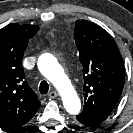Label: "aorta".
<instances>
[{"instance_id":"aorta-1","label":"aorta","mask_w":133,"mask_h":133,"mask_svg":"<svg viewBox=\"0 0 133 133\" xmlns=\"http://www.w3.org/2000/svg\"><path fill=\"white\" fill-rule=\"evenodd\" d=\"M38 69L58 90L66 111L73 115L78 114L81 110L80 99L57 59L51 54L41 55Z\"/></svg>"}]
</instances>
